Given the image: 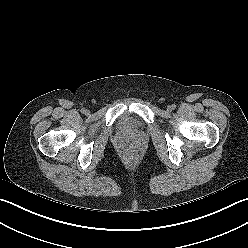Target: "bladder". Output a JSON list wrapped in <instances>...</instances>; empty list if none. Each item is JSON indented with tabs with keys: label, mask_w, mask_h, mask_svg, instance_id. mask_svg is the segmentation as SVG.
Instances as JSON below:
<instances>
[{
	"label": "bladder",
	"mask_w": 248,
	"mask_h": 248,
	"mask_svg": "<svg viewBox=\"0 0 248 248\" xmlns=\"http://www.w3.org/2000/svg\"><path fill=\"white\" fill-rule=\"evenodd\" d=\"M120 125L125 131H130L132 129L130 118L128 116L122 118Z\"/></svg>",
	"instance_id": "obj_1"
}]
</instances>
